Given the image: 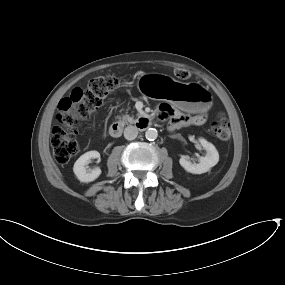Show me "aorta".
Masks as SVG:
<instances>
[{
    "label": "aorta",
    "mask_w": 285,
    "mask_h": 285,
    "mask_svg": "<svg viewBox=\"0 0 285 285\" xmlns=\"http://www.w3.org/2000/svg\"><path fill=\"white\" fill-rule=\"evenodd\" d=\"M146 139L153 141L158 137V131L155 128H149L145 132Z\"/></svg>",
    "instance_id": "aorta-1"
}]
</instances>
